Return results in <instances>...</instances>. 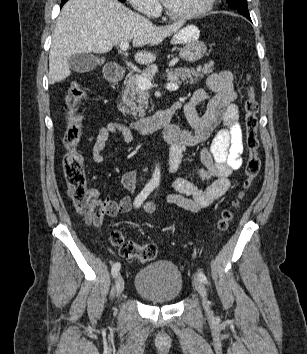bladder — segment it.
Returning <instances> with one entry per match:
<instances>
[{"label":"bladder","instance_id":"bladder-1","mask_svg":"<svg viewBox=\"0 0 307 354\" xmlns=\"http://www.w3.org/2000/svg\"><path fill=\"white\" fill-rule=\"evenodd\" d=\"M135 289L147 301L169 304L181 294L183 277L170 261H156L142 267L135 276Z\"/></svg>","mask_w":307,"mask_h":354}]
</instances>
